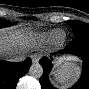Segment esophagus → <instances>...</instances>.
<instances>
[{
	"mask_svg": "<svg viewBox=\"0 0 89 89\" xmlns=\"http://www.w3.org/2000/svg\"><path fill=\"white\" fill-rule=\"evenodd\" d=\"M31 58H32V61H33L34 63H37L38 60H39V55L34 54V55L31 56Z\"/></svg>",
	"mask_w": 89,
	"mask_h": 89,
	"instance_id": "1",
	"label": "esophagus"
}]
</instances>
